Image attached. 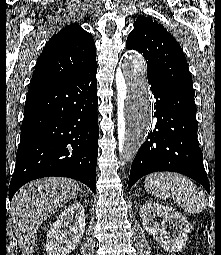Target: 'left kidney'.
I'll return each instance as SVG.
<instances>
[{"label":"left kidney","instance_id":"left-kidney-1","mask_svg":"<svg viewBox=\"0 0 221 255\" xmlns=\"http://www.w3.org/2000/svg\"><path fill=\"white\" fill-rule=\"evenodd\" d=\"M142 225L146 232L166 251L179 252L187 242L190 226L187 219L174 208L159 203H145L140 208ZM156 217L162 218L161 227Z\"/></svg>","mask_w":221,"mask_h":255}]
</instances>
